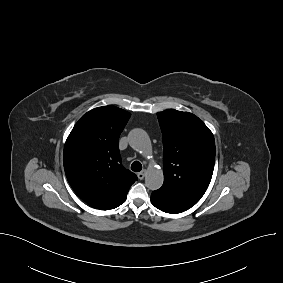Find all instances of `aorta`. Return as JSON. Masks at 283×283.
Listing matches in <instances>:
<instances>
[{
	"instance_id": "1",
	"label": "aorta",
	"mask_w": 283,
	"mask_h": 283,
	"mask_svg": "<svg viewBox=\"0 0 283 283\" xmlns=\"http://www.w3.org/2000/svg\"><path fill=\"white\" fill-rule=\"evenodd\" d=\"M130 146L142 154L151 152V141L148 134L142 129H133L129 133ZM164 181L163 172L160 169L149 167L145 176V185L150 190L159 189Z\"/></svg>"
}]
</instances>
